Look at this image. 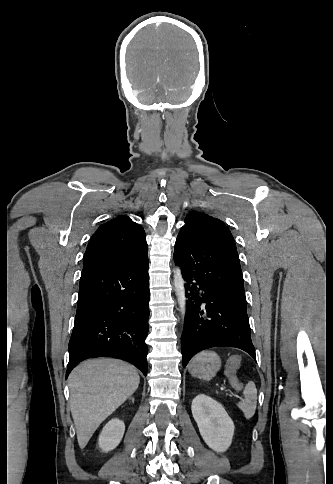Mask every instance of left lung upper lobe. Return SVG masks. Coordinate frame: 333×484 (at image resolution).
I'll list each match as a JSON object with an SVG mask.
<instances>
[{"label": "left lung upper lobe", "instance_id": "1", "mask_svg": "<svg viewBox=\"0 0 333 484\" xmlns=\"http://www.w3.org/2000/svg\"><path fill=\"white\" fill-rule=\"evenodd\" d=\"M195 218L206 219V220H208V219L219 220V219H216V218H214V217H212L208 214L198 213V212L192 211L187 215L185 221L189 220V219H195Z\"/></svg>", "mask_w": 333, "mask_h": 484}]
</instances>
